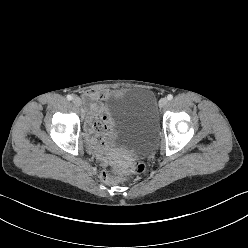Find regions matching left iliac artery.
Wrapping results in <instances>:
<instances>
[{"mask_svg":"<svg viewBox=\"0 0 248 248\" xmlns=\"http://www.w3.org/2000/svg\"><path fill=\"white\" fill-rule=\"evenodd\" d=\"M167 99L170 101V100H172L173 99V95L172 94H169L168 96H167Z\"/></svg>","mask_w":248,"mask_h":248,"instance_id":"left-iliac-artery-1","label":"left iliac artery"}]
</instances>
